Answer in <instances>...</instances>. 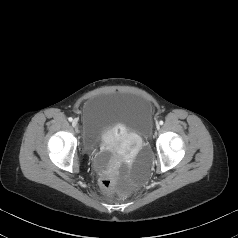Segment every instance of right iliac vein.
I'll use <instances>...</instances> for the list:
<instances>
[{"label":"right iliac vein","instance_id":"obj_1","mask_svg":"<svg viewBox=\"0 0 238 238\" xmlns=\"http://www.w3.org/2000/svg\"><path fill=\"white\" fill-rule=\"evenodd\" d=\"M77 124H78V121L76 120V119H74L73 121H72V126L73 127H77Z\"/></svg>","mask_w":238,"mask_h":238}]
</instances>
